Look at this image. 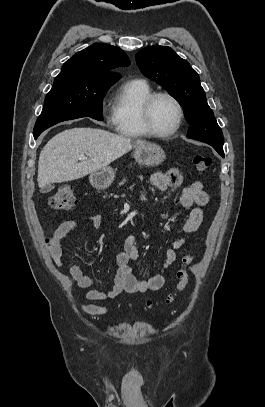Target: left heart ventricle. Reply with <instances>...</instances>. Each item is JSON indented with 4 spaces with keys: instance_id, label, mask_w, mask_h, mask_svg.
I'll use <instances>...</instances> for the list:
<instances>
[{
    "instance_id": "b2bd125f",
    "label": "left heart ventricle",
    "mask_w": 265,
    "mask_h": 407,
    "mask_svg": "<svg viewBox=\"0 0 265 407\" xmlns=\"http://www.w3.org/2000/svg\"><path fill=\"white\" fill-rule=\"evenodd\" d=\"M178 119V109L167 97L158 98L152 109V120L159 131H168L174 127Z\"/></svg>"
}]
</instances>
